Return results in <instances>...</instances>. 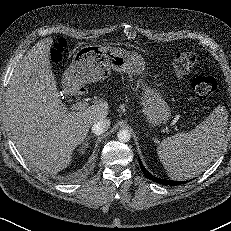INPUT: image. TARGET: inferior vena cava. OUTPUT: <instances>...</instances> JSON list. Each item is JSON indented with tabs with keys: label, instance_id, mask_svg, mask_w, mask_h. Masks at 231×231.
Masks as SVG:
<instances>
[{
	"label": "inferior vena cava",
	"instance_id": "602c4592",
	"mask_svg": "<svg viewBox=\"0 0 231 231\" xmlns=\"http://www.w3.org/2000/svg\"><path fill=\"white\" fill-rule=\"evenodd\" d=\"M110 124H111L110 120L107 119L99 120L92 125L91 130L94 134L101 135L108 130Z\"/></svg>",
	"mask_w": 231,
	"mask_h": 231
}]
</instances>
